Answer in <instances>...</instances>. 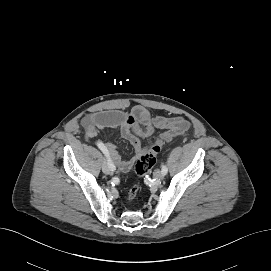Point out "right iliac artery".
Here are the masks:
<instances>
[{"label":"right iliac artery","mask_w":271,"mask_h":271,"mask_svg":"<svg viewBox=\"0 0 271 271\" xmlns=\"http://www.w3.org/2000/svg\"><path fill=\"white\" fill-rule=\"evenodd\" d=\"M96 144H97L98 148H99V149L103 152V154L105 155L109 167L111 168L112 171H114V170L116 169V167H115V165L113 164V162H112V160H111V158H110V155H109V152H108L106 146H105L102 142H100V141H98Z\"/></svg>","instance_id":"obj_1"}]
</instances>
